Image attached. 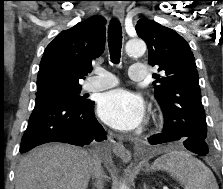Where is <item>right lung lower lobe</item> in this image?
Masks as SVG:
<instances>
[{"instance_id":"obj_1","label":"right lung lower lobe","mask_w":223,"mask_h":189,"mask_svg":"<svg viewBox=\"0 0 223 189\" xmlns=\"http://www.w3.org/2000/svg\"><path fill=\"white\" fill-rule=\"evenodd\" d=\"M105 138L106 133L95 118L93 101L78 105L62 99L36 98L20 153L48 142L84 146Z\"/></svg>"}]
</instances>
